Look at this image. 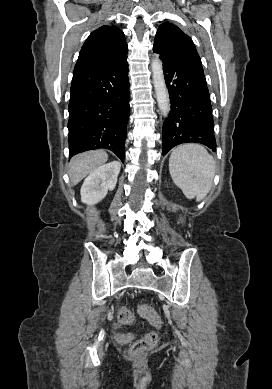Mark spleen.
<instances>
[{
	"mask_svg": "<svg viewBox=\"0 0 272 389\" xmlns=\"http://www.w3.org/2000/svg\"><path fill=\"white\" fill-rule=\"evenodd\" d=\"M169 171L174 183L188 199L196 197L200 201L211 189L215 161L201 145H180L170 155Z\"/></svg>",
	"mask_w": 272,
	"mask_h": 389,
	"instance_id": "1",
	"label": "spleen"
}]
</instances>
